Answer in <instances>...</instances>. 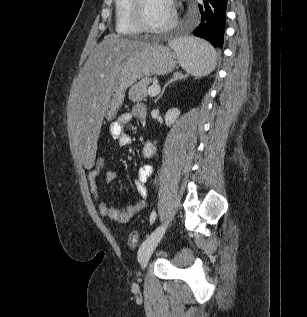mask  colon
<instances>
[{
    "mask_svg": "<svg viewBox=\"0 0 307 317\" xmlns=\"http://www.w3.org/2000/svg\"><path fill=\"white\" fill-rule=\"evenodd\" d=\"M105 167V159L102 156H98L95 159L94 169L102 170ZM138 240V232L133 231L130 232L126 238L127 244L130 246H134Z\"/></svg>",
    "mask_w": 307,
    "mask_h": 317,
    "instance_id": "colon-1",
    "label": "colon"
}]
</instances>
